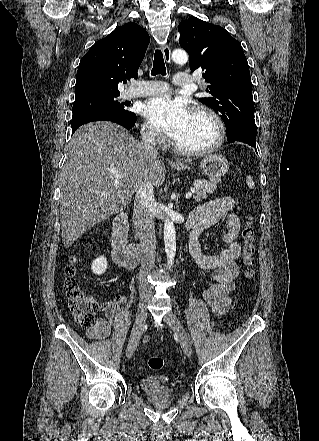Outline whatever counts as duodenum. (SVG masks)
<instances>
[{
  "label": "duodenum",
  "mask_w": 319,
  "mask_h": 441,
  "mask_svg": "<svg viewBox=\"0 0 319 441\" xmlns=\"http://www.w3.org/2000/svg\"><path fill=\"white\" fill-rule=\"evenodd\" d=\"M127 227L128 217L125 212H122L114 219L111 247L113 260L117 264L131 269L139 263L140 248L137 245H127Z\"/></svg>",
  "instance_id": "obj_1"
}]
</instances>
